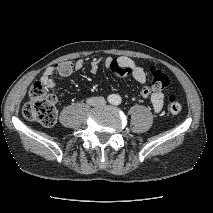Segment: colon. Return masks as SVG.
<instances>
[{
	"instance_id": "5ec220e1",
	"label": "colon",
	"mask_w": 213,
	"mask_h": 213,
	"mask_svg": "<svg viewBox=\"0 0 213 213\" xmlns=\"http://www.w3.org/2000/svg\"><path fill=\"white\" fill-rule=\"evenodd\" d=\"M60 75H70L75 66L71 61H64L56 65ZM111 70L120 77L127 76L131 73L129 65L114 62ZM149 75L152 87L156 90L165 89L169 83V77L160 68L152 66L149 68ZM168 109L171 113L177 114L181 111L182 105L175 95L168 98ZM23 116L30 121H36L44 126H53L57 120L56 97L50 92L45 85L36 82L30 89L29 100L22 110Z\"/></svg>"
}]
</instances>
